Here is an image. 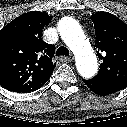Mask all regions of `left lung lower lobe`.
Wrapping results in <instances>:
<instances>
[{"label":"left lung lower lobe","mask_w":127,"mask_h":127,"mask_svg":"<svg viewBox=\"0 0 127 127\" xmlns=\"http://www.w3.org/2000/svg\"><path fill=\"white\" fill-rule=\"evenodd\" d=\"M83 82L87 85L88 88L98 95H109L124 88L113 81L101 77H94L90 80H83Z\"/></svg>","instance_id":"left-lung-lower-lobe-1"}]
</instances>
